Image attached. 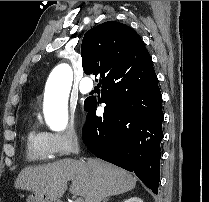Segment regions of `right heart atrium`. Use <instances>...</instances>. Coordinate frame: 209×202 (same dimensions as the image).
Wrapping results in <instances>:
<instances>
[{
  "label": "right heart atrium",
  "mask_w": 209,
  "mask_h": 202,
  "mask_svg": "<svg viewBox=\"0 0 209 202\" xmlns=\"http://www.w3.org/2000/svg\"><path fill=\"white\" fill-rule=\"evenodd\" d=\"M44 138L48 147L56 156L69 155L79 146L78 131L73 123H70L61 132L44 133ZM66 164L69 165L72 174H79L83 171V168L73 161L68 160Z\"/></svg>",
  "instance_id": "right-heart-atrium-1"
}]
</instances>
